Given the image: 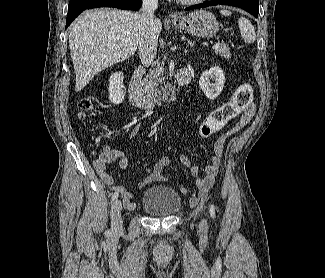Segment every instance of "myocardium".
Returning <instances> with one entry per match:
<instances>
[{
    "mask_svg": "<svg viewBox=\"0 0 325 278\" xmlns=\"http://www.w3.org/2000/svg\"><path fill=\"white\" fill-rule=\"evenodd\" d=\"M178 1L186 5H197L205 2L206 0H178Z\"/></svg>",
    "mask_w": 325,
    "mask_h": 278,
    "instance_id": "1",
    "label": "myocardium"
}]
</instances>
